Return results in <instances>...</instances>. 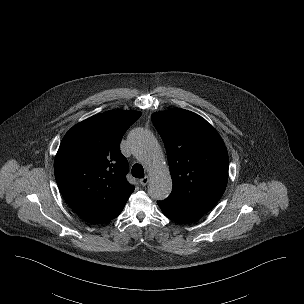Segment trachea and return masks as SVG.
<instances>
[{"label":"trachea","mask_w":304,"mask_h":304,"mask_svg":"<svg viewBox=\"0 0 304 304\" xmlns=\"http://www.w3.org/2000/svg\"><path fill=\"white\" fill-rule=\"evenodd\" d=\"M132 176L136 178H143L144 177V169L140 164H134L131 169Z\"/></svg>","instance_id":"obj_1"}]
</instances>
